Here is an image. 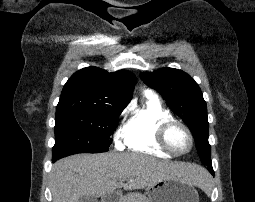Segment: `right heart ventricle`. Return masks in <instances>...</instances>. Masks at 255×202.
I'll use <instances>...</instances> for the list:
<instances>
[{
  "label": "right heart ventricle",
  "instance_id": "1",
  "mask_svg": "<svg viewBox=\"0 0 255 202\" xmlns=\"http://www.w3.org/2000/svg\"><path fill=\"white\" fill-rule=\"evenodd\" d=\"M173 119L171 112L153 94H145L140 107L134 109L121 128L123 144L131 151L169 158L157 142L160 125Z\"/></svg>",
  "mask_w": 255,
  "mask_h": 202
}]
</instances>
